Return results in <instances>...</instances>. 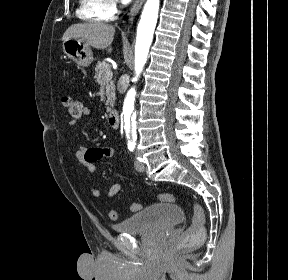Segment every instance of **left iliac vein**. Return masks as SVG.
<instances>
[{
	"label": "left iliac vein",
	"mask_w": 288,
	"mask_h": 280,
	"mask_svg": "<svg viewBox=\"0 0 288 280\" xmlns=\"http://www.w3.org/2000/svg\"><path fill=\"white\" fill-rule=\"evenodd\" d=\"M135 166L139 170L143 169V164L141 162H139V161H135Z\"/></svg>",
	"instance_id": "left-iliac-vein-1"
}]
</instances>
